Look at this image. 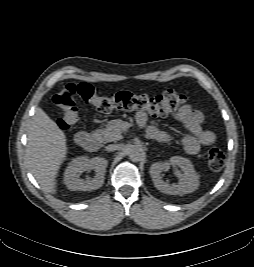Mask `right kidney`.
<instances>
[{"mask_svg": "<svg viewBox=\"0 0 254 267\" xmlns=\"http://www.w3.org/2000/svg\"><path fill=\"white\" fill-rule=\"evenodd\" d=\"M108 162L103 157L88 159L80 156L73 159L64 172V183L67 188L76 191H91L102 187ZM94 170L95 176L90 179H81L80 175L84 171Z\"/></svg>", "mask_w": 254, "mask_h": 267, "instance_id": "1", "label": "right kidney"}]
</instances>
